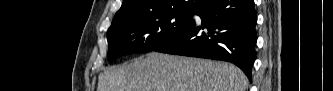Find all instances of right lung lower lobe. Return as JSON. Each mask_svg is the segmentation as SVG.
I'll use <instances>...</instances> for the list:
<instances>
[{
    "label": "right lung lower lobe",
    "mask_w": 333,
    "mask_h": 91,
    "mask_svg": "<svg viewBox=\"0 0 333 91\" xmlns=\"http://www.w3.org/2000/svg\"><path fill=\"white\" fill-rule=\"evenodd\" d=\"M183 29L154 51L228 61L252 79L257 16L254 0H208Z\"/></svg>",
    "instance_id": "98d812e1"
}]
</instances>
